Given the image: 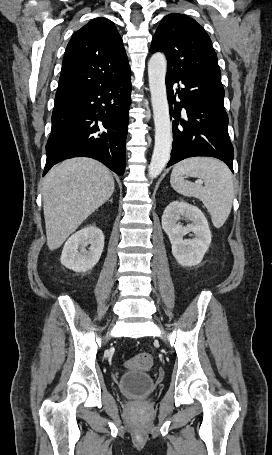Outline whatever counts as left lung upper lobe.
Wrapping results in <instances>:
<instances>
[{"label":"left lung upper lobe","instance_id":"1","mask_svg":"<svg viewBox=\"0 0 272 455\" xmlns=\"http://www.w3.org/2000/svg\"><path fill=\"white\" fill-rule=\"evenodd\" d=\"M151 53L164 52L167 73L189 71L206 77L221 78L217 55L202 26L179 13L165 16L152 39Z\"/></svg>","mask_w":272,"mask_h":455}]
</instances>
